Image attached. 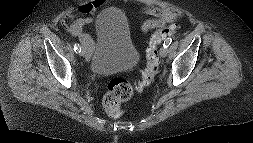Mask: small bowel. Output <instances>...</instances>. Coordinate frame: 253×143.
I'll list each match as a JSON object with an SVG mask.
<instances>
[{"label":"small bowel","instance_id":"small-bowel-1","mask_svg":"<svg viewBox=\"0 0 253 143\" xmlns=\"http://www.w3.org/2000/svg\"><path fill=\"white\" fill-rule=\"evenodd\" d=\"M104 4V0H92L82 4L70 11L63 21V27L66 28L73 36L77 37L82 45L89 50L92 47L91 37L84 32V28L93 22V14ZM142 12L154 17L146 20L142 24V31L148 32L155 28H161L165 25L172 24L181 19L182 11L173 6H153L147 5L142 7ZM153 23V26H149Z\"/></svg>","mask_w":253,"mask_h":143}]
</instances>
